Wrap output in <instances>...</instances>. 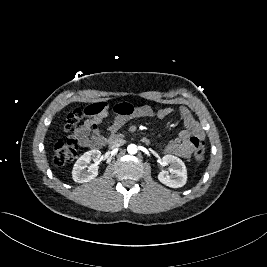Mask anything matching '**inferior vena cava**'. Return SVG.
Wrapping results in <instances>:
<instances>
[{"instance_id":"inferior-vena-cava-1","label":"inferior vena cava","mask_w":267,"mask_h":267,"mask_svg":"<svg viewBox=\"0 0 267 267\" xmlns=\"http://www.w3.org/2000/svg\"><path fill=\"white\" fill-rule=\"evenodd\" d=\"M124 143H125V140L117 138V139H114L110 142L109 148L115 149V148L122 146Z\"/></svg>"}]
</instances>
